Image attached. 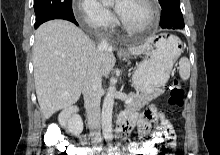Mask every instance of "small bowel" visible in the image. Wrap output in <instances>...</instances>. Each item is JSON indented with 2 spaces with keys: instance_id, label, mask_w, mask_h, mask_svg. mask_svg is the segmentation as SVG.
Returning a JSON list of instances; mask_svg holds the SVG:
<instances>
[{
  "instance_id": "1",
  "label": "small bowel",
  "mask_w": 220,
  "mask_h": 155,
  "mask_svg": "<svg viewBox=\"0 0 220 155\" xmlns=\"http://www.w3.org/2000/svg\"><path fill=\"white\" fill-rule=\"evenodd\" d=\"M158 105H146V111L144 114L138 113H125L122 115L121 120L125 121L129 128L128 135L134 128L137 129L141 138H147L151 132L152 123L159 122L157 131H160V135H164L165 139L163 143L172 142L175 145V132L171 123L164 117V115L158 110ZM155 134H153L154 136ZM158 140H147L142 147L132 145L129 147L128 155H150L156 153L155 145L158 144ZM147 142H152V147H147Z\"/></svg>"
}]
</instances>
